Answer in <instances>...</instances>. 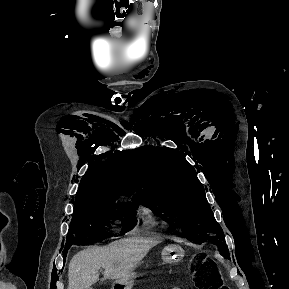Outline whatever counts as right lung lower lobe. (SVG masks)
<instances>
[{"mask_svg": "<svg viewBox=\"0 0 289 289\" xmlns=\"http://www.w3.org/2000/svg\"><path fill=\"white\" fill-rule=\"evenodd\" d=\"M66 254H67V251L63 253V255H64V258L66 257Z\"/></svg>", "mask_w": 289, "mask_h": 289, "instance_id": "98d812e1", "label": "right lung lower lobe"}]
</instances>
